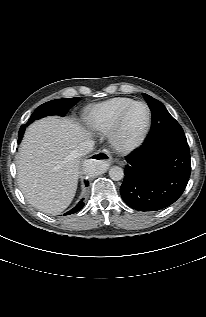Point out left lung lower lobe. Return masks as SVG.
Segmentation results:
<instances>
[{
    "instance_id": "obj_1",
    "label": "left lung lower lobe",
    "mask_w": 206,
    "mask_h": 317,
    "mask_svg": "<svg viewBox=\"0 0 206 317\" xmlns=\"http://www.w3.org/2000/svg\"><path fill=\"white\" fill-rule=\"evenodd\" d=\"M122 199L139 211H157L174 203L190 177L186 139L163 138L145 144L126 158Z\"/></svg>"
}]
</instances>
